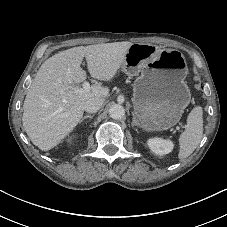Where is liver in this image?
Instances as JSON below:
<instances>
[{
    "instance_id": "1",
    "label": "liver",
    "mask_w": 227,
    "mask_h": 227,
    "mask_svg": "<svg viewBox=\"0 0 227 227\" xmlns=\"http://www.w3.org/2000/svg\"><path fill=\"white\" fill-rule=\"evenodd\" d=\"M131 42L74 47L55 54L39 68L23 105L22 123L32 143L48 151L80 123L90 98H105L109 88L94 84L89 91L75 85L86 80L85 57L94 79L110 81L122 66Z\"/></svg>"
}]
</instances>
